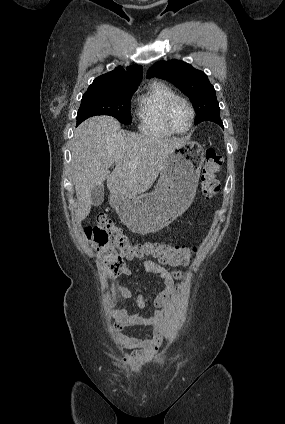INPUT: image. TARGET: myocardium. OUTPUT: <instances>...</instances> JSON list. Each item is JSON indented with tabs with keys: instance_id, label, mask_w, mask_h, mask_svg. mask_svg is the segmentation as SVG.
Segmentation results:
<instances>
[{
	"instance_id": "1",
	"label": "myocardium",
	"mask_w": 285,
	"mask_h": 424,
	"mask_svg": "<svg viewBox=\"0 0 285 424\" xmlns=\"http://www.w3.org/2000/svg\"><path fill=\"white\" fill-rule=\"evenodd\" d=\"M177 102H183L188 107V109L190 111V123H189L188 127L185 130H177L172 125V123L170 121V112H171V109H172V107ZM195 116H196V113H195V109H194L192 103L188 99H186L184 97H181V96H175L174 98H172L167 103V105L165 106L164 113H163L165 125L174 134H186V133H188L192 129L193 125H194Z\"/></svg>"
}]
</instances>
